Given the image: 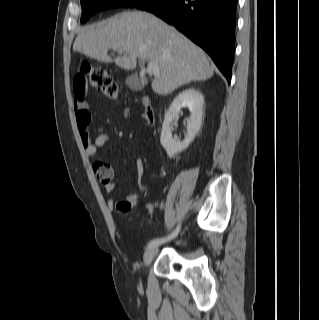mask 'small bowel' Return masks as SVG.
<instances>
[{
	"label": "small bowel",
	"instance_id": "small-bowel-1",
	"mask_svg": "<svg viewBox=\"0 0 319 320\" xmlns=\"http://www.w3.org/2000/svg\"><path fill=\"white\" fill-rule=\"evenodd\" d=\"M75 99H74V108H75V120L77 127L80 131L81 141L84 147L85 154L88 157H94L98 150L102 147L107 146L110 143V136L107 134H99L95 139H92L88 133V124L91 120V114L89 111V104L86 100V88L74 87ZM103 162V161H97ZM136 170L138 173V185L140 187L144 186V162L141 158H138L135 162ZM96 176L102 182V185L106 192L110 193L116 188V182L113 179V172L107 171L105 169H100ZM100 177L104 179L101 180ZM127 199L131 202H137L138 197L136 194L128 195ZM113 202L111 201L110 204ZM145 209L151 213L153 211V205L150 203L144 204Z\"/></svg>",
	"mask_w": 319,
	"mask_h": 320
}]
</instances>
